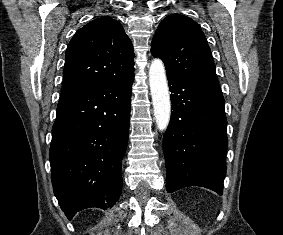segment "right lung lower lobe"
<instances>
[{
	"label": "right lung lower lobe",
	"instance_id": "obj_1",
	"mask_svg": "<svg viewBox=\"0 0 283 235\" xmlns=\"http://www.w3.org/2000/svg\"><path fill=\"white\" fill-rule=\"evenodd\" d=\"M134 73L60 98L50 146L54 194L68 218L111 208L122 189Z\"/></svg>",
	"mask_w": 283,
	"mask_h": 235
}]
</instances>
